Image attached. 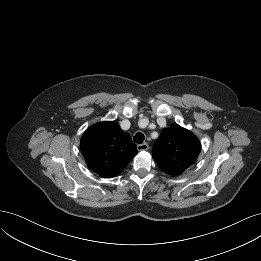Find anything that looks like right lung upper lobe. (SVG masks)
I'll list each match as a JSON object with an SVG mask.
<instances>
[{
    "label": "right lung upper lobe",
    "instance_id": "cb5924a9",
    "mask_svg": "<svg viewBox=\"0 0 261 261\" xmlns=\"http://www.w3.org/2000/svg\"><path fill=\"white\" fill-rule=\"evenodd\" d=\"M80 148L87 166L105 178L119 174L138 153L131 137L113 121L90 126L82 135Z\"/></svg>",
    "mask_w": 261,
    "mask_h": 261
}]
</instances>
